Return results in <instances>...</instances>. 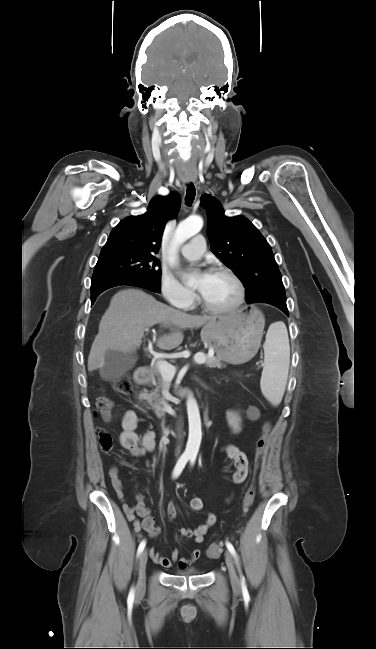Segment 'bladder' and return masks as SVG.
Masks as SVG:
<instances>
[{
    "label": "bladder",
    "mask_w": 376,
    "mask_h": 649,
    "mask_svg": "<svg viewBox=\"0 0 376 649\" xmlns=\"http://www.w3.org/2000/svg\"><path fill=\"white\" fill-rule=\"evenodd\" d=\"M179 575H184V576H189V575H197L199 574V570L195 567L185 569V570H179L177 571Z\"/></svg>",
    "instance_id": "bladder-1"
}]
</instances>
